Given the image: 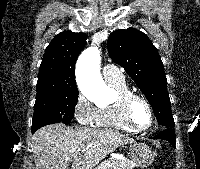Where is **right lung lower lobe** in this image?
I'll return each mask as SVG.
<instances>
[{
  "label": "right lung lower lobe",
  "instance_id": "98d812e1",
  "mask_svg": "<svg viewBox=\"0 0 200 169\" xmlns=\"http://www.w3.org/2000/svg\"><path fill=\"white\" fill-rule=\"evenodd\" d=\"M35 131H37V130H32V133H34Z\"/></svg>",
  "mask_w": 200,
  "mask_h": 169
}]
</instances>
